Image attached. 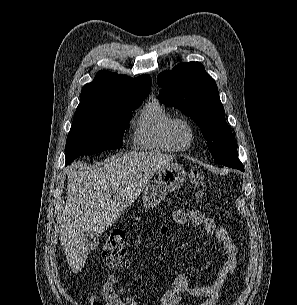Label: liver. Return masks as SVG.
<instances>
[{"label": "liver", "instance_id": "liver-1", "mask_svg": "<svg viewBox=\"0 0 297 305\" xmlns=\"http://www.w3.org/2000/svg\"><path fill=\"white\" fill-rule=\"evenodd\" d=\"M173 159L159 152H130L87 171L79 169V162L70 168L59 233L73 273L84 267L89 254L83 232L104 233L134 203L154 174Z\"/></svg>", "mask_w": 297, "mask_h": 305}]
</instances>
